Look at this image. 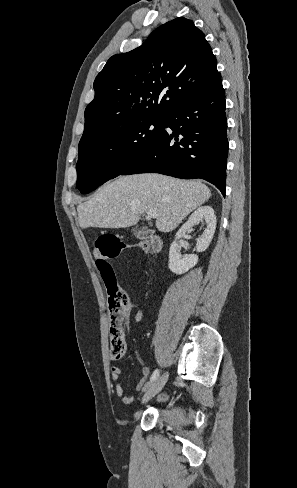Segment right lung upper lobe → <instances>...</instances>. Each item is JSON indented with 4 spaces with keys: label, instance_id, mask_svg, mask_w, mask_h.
<instances>
[{
    "label": "right lung upper lobe",
    "instance_id": "cb5924a9",
    "mask_svg": "<svg viewBox=\"0 0 297 488\" xmlns=\"http://www.w3.org/2000/svg\"><path fill=\"white\" fill-rule=\"evenodd\" d=\"M216 65L192 20L179 17L163 24L140 47L112 56L97 75L81 139H95L146 117H167L221 78Z\"/></svg>",
    "mask_w": 297,
    "mask_h": 488
}]
</instances>
